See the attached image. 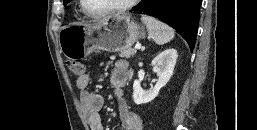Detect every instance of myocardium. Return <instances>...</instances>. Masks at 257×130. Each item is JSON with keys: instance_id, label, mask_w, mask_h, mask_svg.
<instances>
[{"instance_id": "obj_1", "label": "myocardium", "mask_w": 257, "mask_h": 130, "mask_svg": "<svg viewBox=\"0 0 257 130\" xmlns=\"http://www.w3.org/2000/svg\"><path fill=\"white\" fill-rule=\"evenodd\" d=\"M139 0H126L125 2L114 6L112 8H109L105 11L102 12H92L90 11L86 5H85V0H80V5L82 10L84 11L85 14H87L88 16L91 17H104L110 14H114V13H118V12H122V11H126L130 8H132Z\"/></svg>"}]
</instances>
